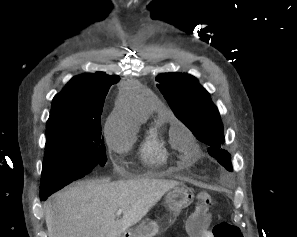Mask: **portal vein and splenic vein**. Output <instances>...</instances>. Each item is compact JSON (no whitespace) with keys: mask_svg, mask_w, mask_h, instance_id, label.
<instances>
[{"mask_svg":"<svg viewBox=\"0 0 297 237\" xmlns=\"http://www.w3.org/2000/svg\"><path fill=\"white\" fill-rule=\"evenodd\" d=\"M123 212V209H118L116 215L119 216Z\"/></svg>","mask_w":297,"mask_h":237,"instance_id":"obj_1","label":"portal vein and splenic vein"}]
</instances>
